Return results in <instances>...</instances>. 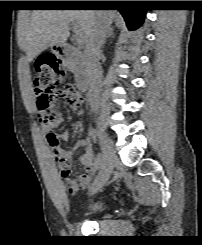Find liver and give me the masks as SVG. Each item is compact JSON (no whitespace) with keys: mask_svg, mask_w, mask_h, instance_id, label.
Segmentation results:
<instances>
[{"mask_svg":"<svg viewBox=\"0 0 202 245\" xmlns=\"http://www.w3.org/2000/svg\"><path fill=\"white\" fill-rule=\"evenodd\" d=\"M105 15L109 24L116 13L94 10H34L31 21L23 38V47L29 61H32L48 47L63 45L69 35L71 22L77 23L84 34L86 43L95 26L97 16Z\"/></svg>","mask_w":202,"mask_h":245,"instance_id":"liver-1","label":"liver"}]
</instances>
